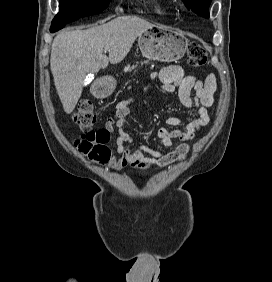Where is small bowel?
Returning <instances> with one entry per match:
<instances>
[{
  "label": "small bowel",
  "mask_w": 272,
  "mask_h": 282,
  "mask_svg": "<svg viewBox=\"0 0 272 282\" xmlns=\"http://www.w3.org/2000/svg\"><path fill=\"white\" fill-rule=\"evenodd\" d=\"M155 79H159L163 84L160 88L162 92L177 90L182 105L189 110H195L196 113L187 123L185 131L180 129L170 131L167 128H161L158 136L163 147L153 149L135 141L124 131V122L131 113L129 105L133 100L129 99L119 103L115 108L114 115L106 122V128L112 130L115 127L118 132L116 141L118 156L113 157L107 164V167L111 170L120 171L126 167L141 165L166 167L182 161L187 158L190 152V146L187 142L209 123L208 109L214 103L216 91V77L213 73L202 79L186 74L180 66H167L161 69L157 75L151 77L144 88L146 93L152 89V81ZM192 92H194L193 96L191 95ZM182 122L181 117H170L166 120L168 126H178ZM175 141H180V144L171 151L170 148ZM131 145L135 147L134 150L131 149Z\"/></svg>",
  "instance_id": "obj_1"
}]
</instances>
